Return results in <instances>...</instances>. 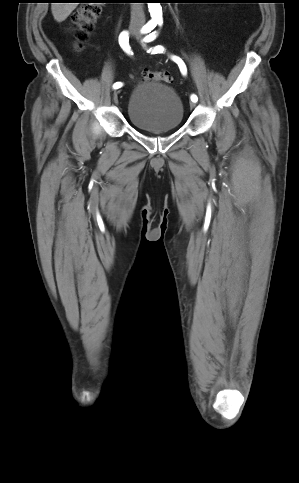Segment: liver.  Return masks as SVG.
Segmentation results:
<instances>
[{
    "instance_id": "1",
    "label": "liver",
    "mask_w": 299,
    "mask_h": 483,
    "mask_svg": "<svg viewBox=\"0 0 299 483\" xmlns=\"http://www.w3.org/2000/svg\"><path fill=\"white\" fill-rule=\"evenodd\" d=\"M78 3H52L51 10L57 22H63L71 12L77 7Z\"/></svg>"
}]
</instances>
